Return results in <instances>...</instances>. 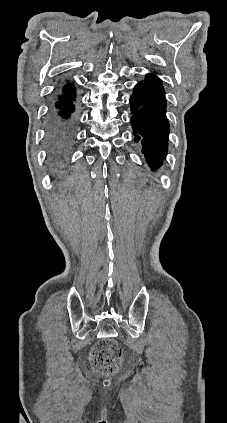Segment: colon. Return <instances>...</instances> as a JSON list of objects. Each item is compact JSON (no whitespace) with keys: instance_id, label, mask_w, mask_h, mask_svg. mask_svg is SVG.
<instances>
[{"instance_id":"5ec220e1","label":"colon","mask_w":227,"mask_h":423,"mask_svg":"<svg viewBox=\"0 0 227 423\" xmlns=\"http://www.w3.org/2000/svg\"><path fill=\"white\" fill-rule=\"evenodd\" d=\"M121 359L122 350L112 339L98 341L91 353L93 365L101 372H115L120 366Z\"/></svg>"}]
</instances>
